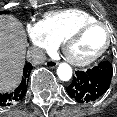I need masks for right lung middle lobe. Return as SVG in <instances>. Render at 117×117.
<instances>
[{
  "label": "right lung middle lobe",
  "instance_id": "obj_1",
  "mask_svg": "<svg viewBox=\"0 0 117 117\" xmlns=\"http://www.w3.org/2000/svg\"><path fill=\"white\" fill-rule=\"evenodd\" d=\"M8 14L9 12L8 11H3V12H0V14Z\"/></svg>",
  "mask_w": 117,
  "mask_h": 117
}]
</instances>
